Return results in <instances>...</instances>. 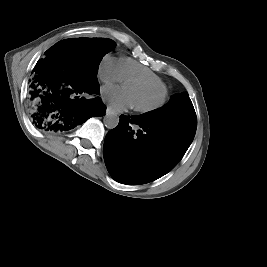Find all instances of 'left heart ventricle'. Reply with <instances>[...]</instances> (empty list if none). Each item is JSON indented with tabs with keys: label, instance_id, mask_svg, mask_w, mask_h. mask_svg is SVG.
<instances>
[{
	"label": "left heart ventricle",
	"instance_id": "b2bd125f",
	"mask_svg": "<svg viewBox=\"0 0 267 267\" xmlns=\"http://www.w3.org/2000/svg\"><path fill=\"white\" fill-rule=\"evenodd\" d=\"M125 87L129 90L133 105L147 106L153 104L160 97V91L148 84L139 82H128Z\"/></svg>",
	"mask_w": 267,
	"mask_h": 267
}]
</instances>
